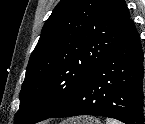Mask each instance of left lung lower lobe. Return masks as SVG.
<instances>
[{"mask_svg": "<svg viewBox=\"0 0 145 124\" xmlns=\"http://www.w3.org/2000/svg\"><path fill=\"white\" fill-rule=\"evenodd\" d=\"M143 59L139 34L131 21L79 92L49 118L96 115L143 124Z\"/></svg>", "mask_w": 145, "mask_h": 124, "instance_id": "obj_1", "label": "left lung lower lobe"}]
</instances>
